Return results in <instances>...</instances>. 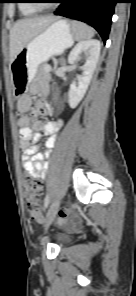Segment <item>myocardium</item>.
Masks as SVG:
<instances>
[{
  "instance_id": "f54148a6",
  "label": "myocardium",
  "mask_w": 136,
  "mask_h": 296,
  "mask_svg": "<svg viewBox=\"0 0 136 296\" xmlns=\"http://www.w3.org/2000/svg\"><path fill=\"white\" fill-rule=\"evenodd\" d=\"M32 1V5L37 9H44L48 7V3H43L44 0H30Z\"/></svg>"
}]
</instances>
